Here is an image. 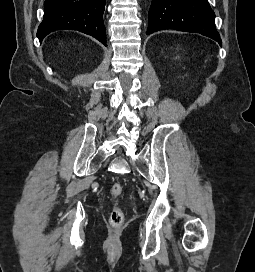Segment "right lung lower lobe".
I'll return each instance as SVG.
<instances>
[{
    "instance_id": "98d812e1",
    "label": "right lung lower lobe",
    "mask_w": 255,
    "mask_h": 272,
    "mask_svg": "<svg viewBox=\"0 0 255 272\" xmlns=\"http://www.w3.org/2000/svg\"><path fill=\"white\" fill-rule=\"evenodd\" d=\"M44 18L37 37L40 42L57 30H77L106 45L103 23L105 0H46Z\"/></svg>"
}]
</instances>
